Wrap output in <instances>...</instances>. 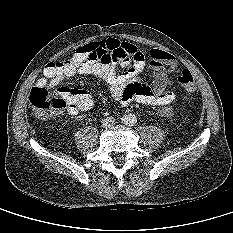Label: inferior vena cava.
Wrapping results in <instances>:
<instances>
[{"label":"inferior vena cava","instance_id":"obj_1","mask_svg":"<svg viewBox=\"0 0 233 233\" xmlns=\"http://www.w3.org/2000/svg\"><path fill=\"white\" fill-rule=\"evenodd\" d=\"M101 123L103 127L110 128L115 123V119L113 117H107Z\"/></svg>","mask_w":233,"mask_h":233}]
</instances>
